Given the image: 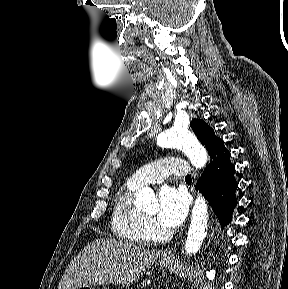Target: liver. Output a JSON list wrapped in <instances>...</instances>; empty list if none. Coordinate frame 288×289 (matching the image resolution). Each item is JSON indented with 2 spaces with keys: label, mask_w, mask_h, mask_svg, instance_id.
<instances>
[{
  "label": "liver",
  "mask_w": 288,
  "mask_h": 289,
  "mask_svg": "<svg viewBox=\"0 0 288 289\" xmlns=\"http://www.w3.org/2000/svg\"><path fill=\"white\" fill-rule=\"evenodd\" d=\"M159 255L158 250H149L112 238L94 240L70 262L58 289L130 284L146 272Z\"/></svg>",
  "instance_id": "liver-1"
}]
</instances>
